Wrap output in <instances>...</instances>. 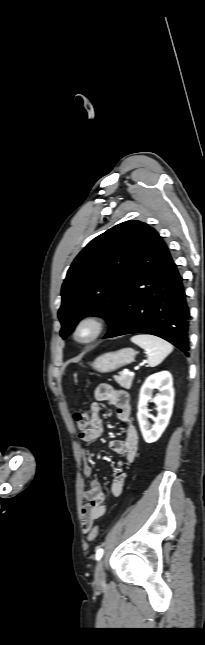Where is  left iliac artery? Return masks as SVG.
I'll use <instances>...</instances> for the list:
<instances>
[{"label": "left iliac artery", "instance_id": "obj_1", "mask_svg": "<svg viewBox=\"0 0 205 645\" xmlns=\"http://www.w3.org/2000/svg\"><path fill=\"white\" fill-rule=\"evenodd\" d=\"M102 556H103V549L100 548L96 552V560H100L102 558Z\"/></svg>", "mask_w": 205, "mask_h": 645}]
</instances>
